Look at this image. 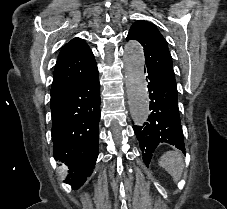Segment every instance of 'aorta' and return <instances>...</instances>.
Wrapping results in <instances>:
<instances>
[{
	"mask_svg": "<svg viewBox=\"0 0 227 209\" xmlns=\"http://www.w3.org/2000/svg\"><path fill=\"white\" fill-rule=\"evenodd\" d=\"M124 63L130 113L136 125H143L149 115V99L144 75V51L137 41L125 45Z\"/></svg>",
	"mask_w": 227,
	"mask_h": 209,
	"instance_id": "762f6f07",
	"label": "aorta"
}]
</instances>
